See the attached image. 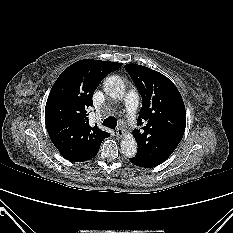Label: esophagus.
I'll return each mask as SVG.
<instances>
[{
    "mask_svg": "<svg viewBox=\"0 0 233 233\" xmlns=\"http://www.w3.org/2000/svg\"><path fill=\"white\" fill-rule=\"evenodd\" d=\"M116 134L119 138L123 137L124 136V130L122 129V127H118L116 129Z\"/></svg>",
    "mask_w": 233,
    "mask_h": 233,
    "instance_id": "obj_1",
    "label": "esophagus"
}]
</instances>
